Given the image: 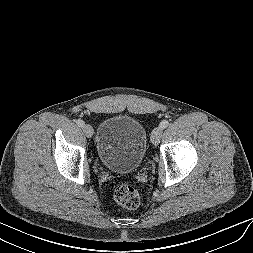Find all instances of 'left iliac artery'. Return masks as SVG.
Returning <instances> with one entry per match:
<instances>
[{"label":"left iliac artery","mask_w":253,"mask_h":253,"mask_svg":"<svg viewBox=\"0 0 253 253\" xmlns=\"http://www.w3.org/2000/svg\"><path fill=\"white\" fill-rule=\"evenodd\" d=\"M169 125V122L167 120H163L161 123H160V127L162 129H165L167 126Z\"/></svg>","instance_id":"1"}]
</instances>
